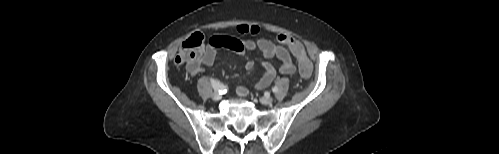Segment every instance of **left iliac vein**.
I'll return each instance as SVG.
<instances>
[{"label": "left iliac vein", "instance_id": "4c4485c4", "mask_svg": "<svg viewBox=\"0 0 499 154\" xmlns=\"http://www.w3.org/2000/svg\"><path fill=\"white\" fill-rule=\"evenodd\" d=\"M260 102L264 105H269L273 102V98L271 96H264L260 98Z\"/></svg>", "mask_w": 499, "mask_h": 154}]
</instances>
